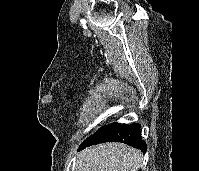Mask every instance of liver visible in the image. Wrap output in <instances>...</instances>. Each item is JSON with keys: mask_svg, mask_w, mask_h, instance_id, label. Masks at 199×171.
<instances>
[{"mask_svg": "<svg viewBox=\"0 0 199 171\" xmlns=\"http://www.w3.org/2000/svg\"><path fill=\"white\" fill-rule=\"evenodd\" d=\"M140 150L123 143H104L80 152L75 171H137L142 162Z\"/></svg>", "mask_w": 199, "mask_h": 171, "instance_id": "obj_1", "label": "liver"}]
</instances>
